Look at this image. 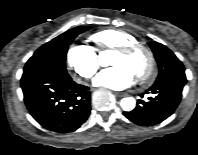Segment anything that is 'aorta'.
<instances>
[{"instance_id":"1","label":"aorta","mask_w":198,"mask_h":155,"mask_svg":"<svg viewBox=\"0 0 198 155\" xmlns=\"http://www.w3.org/2000/svg\"><path fill=\"white\" fill-rule=\"evenodd\" d=\"M112 50H105L99 53L98 63L100 66L107 67L112 62ZM120 106L124 111H132L136 106V101L132 97H125L121 100Z\"/></svg>"}]
</instances>
